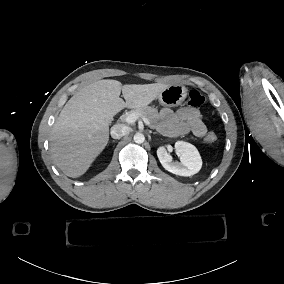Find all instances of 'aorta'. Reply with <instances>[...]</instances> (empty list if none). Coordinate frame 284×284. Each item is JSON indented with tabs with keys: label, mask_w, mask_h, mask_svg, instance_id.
Here are the masks:
<instances>
[{
	"label": "aorta",
	"mask_w": 284,
	"mask_h": 284,
	"mask_svg": "<svg viewBox=\"0 0 284 284\" xmlns=\"http://www.w3.org/2000/svg\"><path fill=\"white\" fill-rule=\"evenodd\" d=\"M133 139H134L135 143L141 144V143L144 142L145 137H144V135L142 133H136L134 135Z\"/></svg>",
	"instance_id": "762f6f07"
}]
</instances>
